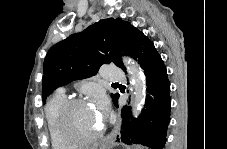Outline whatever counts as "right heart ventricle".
Instances as JSON below:
<instances>
[{"label":"right heart ventricle","mask_w":227,"mask_h":149,"mask_svg":"<svg viewBox=\"0 0 227 149\" xmlns=\"http://www.w3.org/2000/svg\"><path fill=\"white\" fill-rule=\"evenodd\" d=\"M66 101V95L62 91H58L49 99L45 107L47 127L53 149H68L71 146L61 138L57 128V114Z\"/></svg>","instance_id":"right-heart-ventricle-1"}]
</instances>
